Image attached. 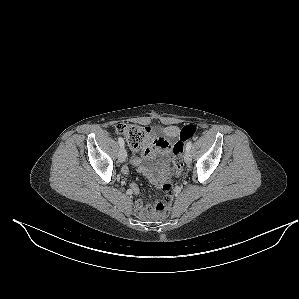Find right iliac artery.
Wrapping results in <instances>:
<instances>
[{"mask_svg": "<svg viewBox=\"0 0 299 299\" xmlns=\"http://www.w3.org/2000/svg\"><path fill=\"white\" fill-rule=\"evenodd\" d=\"M118 143H119V145L121 146V147H124V140L121 138V137H119L118 138Z\"/></svg>", "mask_w": 299, "mask_h": 299, "instance_id": "obj_1", "label": "right iliac artery"}]
</instances>
